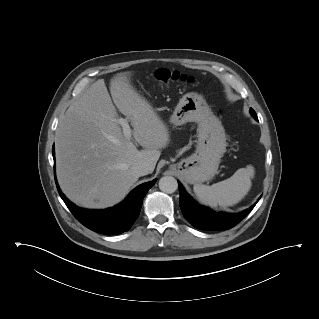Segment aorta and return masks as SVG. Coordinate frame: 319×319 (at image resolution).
<instances>
[{
  "instance_id": "aorta-1",
  "label": "aorta",
  "mask_w": 319,
  "mask_h": 319,
  "mask_svg": "<svg viewBox=\"0 0 319 319\" xmlns=\"http://www.w3.org/2000/svg\"><path fill=\"white\" fill-rule=\"evenodd\" d=\"M177 188V180L172 176H164L159 180V189L165 193H174Z\"/></svg>"
}]
</instances>
